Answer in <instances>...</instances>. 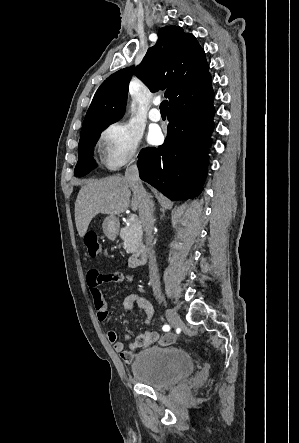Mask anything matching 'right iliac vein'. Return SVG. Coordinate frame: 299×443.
<instances>
[{"label":"right iliac vein","mask_w":299,"mask_h":443,"mask_svg":"<svg viewBox=\"0 0 299 443\" xmlns=\"http://www.w3.org/2000/svg\"><path fill=\"white\" fill-rule=\"evenodd\" d=\"M165 315L166 318L168 320V322L173 326V327H178L182 324V320L179 317V315L172 309H167L165 311Z\"/></svg>","instance_id":"obj_1"}]
</instances>
